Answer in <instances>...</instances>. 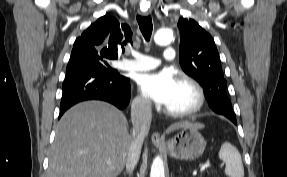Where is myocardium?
Segmentation results:
<instances>
[{"mask_svg":"<svg viewBox=\"0 0 287 177\" xmlns=\"http://www.w3.org/2000/svg\"><path fill=\"white\" fill-rule=\"evenodd\" d=\"M178 82L191 89L194 95V104L187 109L180 110L164 108V112L171 117H185L200 111L205 104V93L202 86L196 80L186 75H182Z\"/></svg>","mask_w":287,"mask_h":177,"instance_id":"obj_1","label":"myocardium"}]
</instances>
